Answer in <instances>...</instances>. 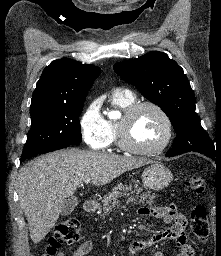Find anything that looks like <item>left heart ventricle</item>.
<instances>
[{
	"mask_svg": "<svg viewBox=\"0 0 221 256\" xmlns=\"http://www.w3.org/2000/svg\"><path fill=\"white\" fill-rule=\"evenodd\" d=\"M164 134V121L152 108H143L132 121L130 137L140 147L151 148L156 146L161 142Z\"/></svg>",
	"mask_w": 221,
	"mask_h": 256,
	"instance_id": "left-heart-ventricle-1",
	"label": "left heart ventricle"
}]
</instances>
